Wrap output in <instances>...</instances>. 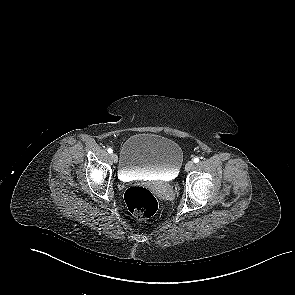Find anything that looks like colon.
Returning a JSON list of instances; mask_svg holds the SVG:
<instances>
[{"mask_svg": "<svg viewBox=\"0 0 295 295\" xmlns=\"http://www.w3.org/2000/svg\"><path fill=\"white\" fill-rule=\"evenodd\" d=\"M124 199L128 210L137 219L150 218L159 208L157 198L143 187L134 186L128 188Z\"/></svg>", "mask_w": 295, "mask_h": 295, "instance_id": "5ec220e1", "label": "colon"}]
</instances>
